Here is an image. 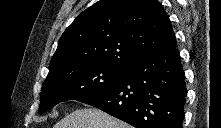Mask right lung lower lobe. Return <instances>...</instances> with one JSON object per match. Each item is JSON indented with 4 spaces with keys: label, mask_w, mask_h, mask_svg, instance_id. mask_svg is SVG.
Wrapping results in <instances>:
<instances>
[{
    "label": "right lung lower lobe",
    "mask_w": 221,
    "mask_h": 128,
    "mask_svg": "<svg viewBox=\"0 0 221 128\" xmlns=\"http://www.w3.org/2000/svg\"><path fill=\"white\" fill-rule=\"evenodd\" d=\"M185 74L176 47L139 59L110 87L80 102L135 128H182Z\"/></svg>",
    "instance_id": "obj_1"
}]
</instances>
